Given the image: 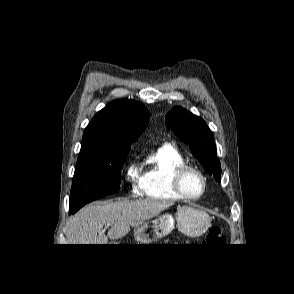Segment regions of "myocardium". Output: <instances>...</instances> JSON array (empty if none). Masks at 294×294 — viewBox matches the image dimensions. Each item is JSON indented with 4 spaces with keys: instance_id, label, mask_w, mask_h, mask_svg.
I'll return each mask as SVG.
<instances>
[{
    "instance_id": "1",
    "label": "myocardium",
    "mask_w": 294,
    "mask_h": 294,
    "mask_svg": "<svg viewBox=\"0 0 294 294\" xmlns=\"http://www.w3.org/2000/svg\"><path fill=\"white\" fill-rule=\"evenodd\" d=\"M187 172H194L201 178L202 189L200 193L196 196L188 195L183 189L182 181ZM172 188L181 199H184L186 201H195L200 199L204 195L207 188V179L200 169L193 165L183 163L175 167L172 172Z\"/></svg>"
}]
</instances>
